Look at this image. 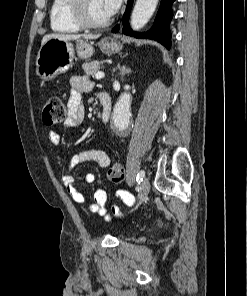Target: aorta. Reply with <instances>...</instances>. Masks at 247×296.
<instances>
[{"mask_svg": "<svg viewBox=\"0 0 247 296\" xmlns=\"http://www.w3.org/2000/svg\"><path fill=\"white\" fill-rule=\"evenodd\" d=\"M158 0H137L131 15V27L134 30L143 28L152 17ZM131 94L124 92L120 95L113 110V123L120 132L125 131L130 123Z\"/></svg>", "mask_w": 247, "mask_h": 296, "instance_id": "1", "label": "aorta"}]
</instances>
